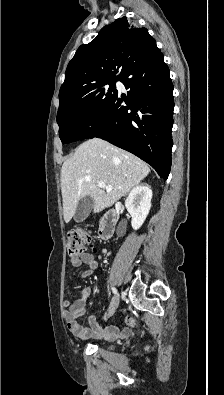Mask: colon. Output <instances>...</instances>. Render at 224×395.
Segmentation results:
<instances>
[{
  "label": "colon",
  "mask_w": 224,
  "mask_h": 395,
  "mask_svg": "<svg viewBox=\"0 0 224 395\" xmlns=\"http://www.w3.org/2000/svg\"><path fill=\"white\" fill-rule=\"evenodd\" d=\"M91 242L89 233L83 229L71 230L66 239V250L70 260L77 261L83 254L86 246ZM130 325H134L132 319L128 320Z\"/></svg>",
  "instance_id": "obj_1"
}]
</instances>
